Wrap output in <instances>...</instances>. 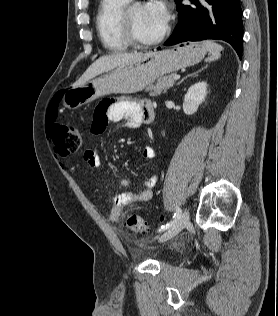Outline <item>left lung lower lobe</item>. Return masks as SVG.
<instances>
[{"label": "left lung lower lobe", "instance_id": "left-lung-lower-lobe-1", "mask_svg": "<svg viewBox=\"0 0 278 316\" xmlns=\"http://www.w3.org/2000/svg\"><path fill=\"white\" fill-rule=\"evenodd\" d=\"M177 2L178 25L164 45L205 39L224 40L242 57L243 27L239 0H190ZM160 50V48H157Z\"/></svg>", "mask_w": 278, "mask_h": 316}]
</instances>
